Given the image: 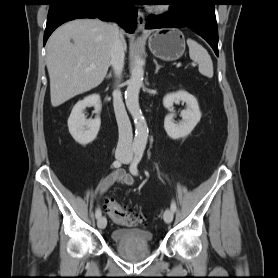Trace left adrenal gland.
Returning a JSON list of instances; mask_svg holds the SVG:
<instances>
[{
  "label": "left adrenal gland",
  "mask_w": 278,
  "mask_h": 278,
  "mask_svg": "<svg viewBox=\"0 0 278 278\" xmlns=\"http://www.w3.org/2000/svg\"><path fill=\"white\" fill-rule=\"evenodd\" d=\"M153 62H154V63H155V65H156V70H155V73H158L159 69H160L162 66H161V65H159L155 59H153Z\"/></svg>",
  "instance_id": "a2214340"
}]
</instances>
